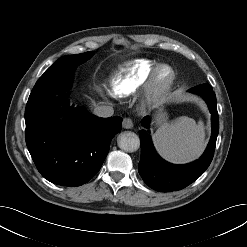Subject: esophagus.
Segmentation results:
<instances>
[{
	"label": "esophagus",
	"instance_id": "obj_1",
	"mask_svg": "<svg viewBox=\"0 0 247 247\" xmlns=\"http://www.w3.org/2000/svg\"><path fill=\"white\" fill-rule=\"evenodd\" d=\"M122 126L125 129H131L133 127V122L130 118H124Z\"/></svg>",
	"mask_w": 247,
	"mask_h": 247
}]
</instances>
